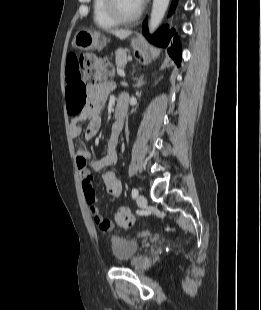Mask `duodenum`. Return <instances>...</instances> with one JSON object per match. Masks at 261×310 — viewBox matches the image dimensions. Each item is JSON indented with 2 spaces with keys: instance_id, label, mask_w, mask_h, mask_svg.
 <instances>
[{
  "instance_id": "duodenum-1",
  "label": "duodenum",
  "mask_w": 261,
  "mask_h": 310,
  "mask_svg": "<svg viewBox=\"0 0 261 310\" xmlns=\"http://www.w3.org/2000/svg\"><path fill=\"white\" fill-rule=\"evenodd\" d=\"M128 111V98L126 96H121L115 107V117L116 123L119 125L118 130H120L123 123V119L126 116Z\"/></svg>"
}]
</instances>
